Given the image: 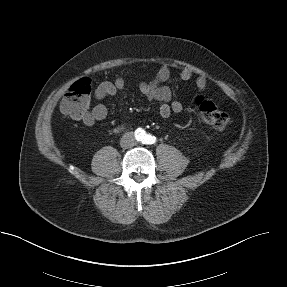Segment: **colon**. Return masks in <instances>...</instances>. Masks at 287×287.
Returning <instances> with one entry per match:
<instances>
[{
	"mask_svg": "<svg viewBox=\"0 0 287 287\" xmlns=\"http://www.w3.org/2000/svg\"><path fill=\"white\" fill-rule=\"evenodd\" d=\"M92 86L87 77L73 83L61 102V111L76 120H81L89 111ZM195 106L203 122L217 130H224L230 124L229 115L203 96L195 98Z\"/></svg>",
	"mask_w": 287,
	"mask_h": 287,
	"instance_id": "obj_1",
	"label": "colon"
}]
</instances>
